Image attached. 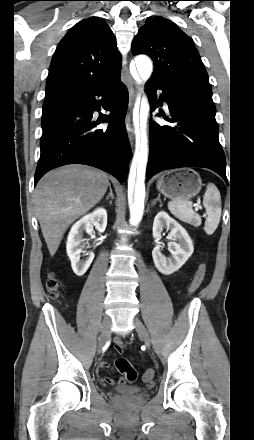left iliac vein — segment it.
Returning a JSON list of instances; mask_svg holds the SVG:
<instances>
[{"label":"left iliac vein","mask_w":254,"mask_h":440,"mask_svg":"<svg viewBox=\"0 0 254 440\" xmlns=\"http://www.w3.org/2000/svg\"><path fill=\"white\" fill-rule=\"evenodd\" d=\"M133 322L137 333L143 338L145 344L147 346H150L151 341H150L149 333L146 327L144 326V324L138 318H134Z\"/></svg>","instance_id":"left-iliac-vein-1"}]
</instances>
